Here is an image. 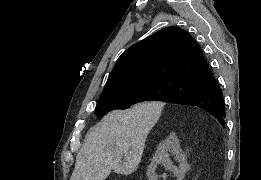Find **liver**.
Instances as JSON below:
<instances>
[{"mask_svg":"<svg viewBox=\"0 0 261 180\" xmlns=\"http://www.w3.org/2000/svg\"><path fill=\"white\" fill-rule=\"evenodd\" d=\"M157 102L131 110H113L87 134L76 156L71 180H106L114 174H132L138 168L146 138L156 124Z\"/></svg>","mask_w":261,"mask_h":180,"instance_id":"1","label":"liver"}]
</instances>
